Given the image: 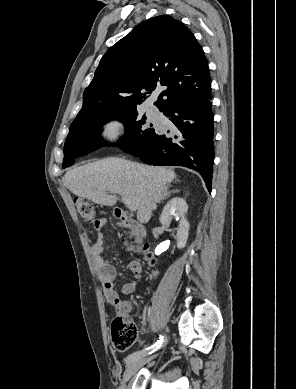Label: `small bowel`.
I'll return each instance as SVG.
<instances>
[{
    "label": "small bowel",
    "instance_id": "obj_1",
    "mask_svg": "<svg viewBox=\"0 0 296 389\" xmlns=\"http://www.w3.org/2000/svg\"><path fill=\"white\" fill-rule=\"evenodd\" d=\"M106 226L104 219H99L95 223L97 234L94 243L91 246V254L95 266L97 267L102 283L103 294L106 301L111 304L116 312L120 315L128 313L131 309V303L127 300H122L115 290L114 277L115 268L109 264L102 256L104 250V237L101 231ZM128 269L131 272L133 279L122 286L121 292L125 295H130L136 290L138 280L141 277V265L137 261H132L128 264Z\"/></svg>",
    "mask_w": 296,
    "mask_h": 389
}]
</instances>
